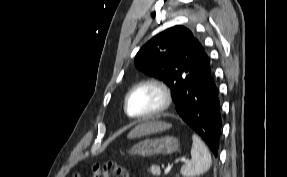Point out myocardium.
I'll use <instances>...</instances> for the list:
<instances>
[{
    "instance_id": "1",
    "label": "myocardium",
    "mask_w": 287,
    "mask_h": 177,
    "mask_svg": "<svg viewBox=\"0 0 287 177\" xmlns=\"http://www.w3.org/2000/svg\"><path fill=\"white\" fill-rule=\"evenodd\" d=\"M142 87H152V88L156 89L161 95V102H160L159 106L156 109H154L153 111H151L147 114H143V115H139V116H133L128 111L129 98L135 90L142 88ZM172 102H173L172 92H171L170 88L167 86V84H165L163 81H161L159 79L150 78V79H146V80L140 81L139 83L135 84L127 92L125 99H124V110H125L126 114L132 119L145 120V119L153 118V117H156V116L162 114L163 112H165L166 110L169 109V107L172 105Z\"/></svg>"
}]
</instances>
